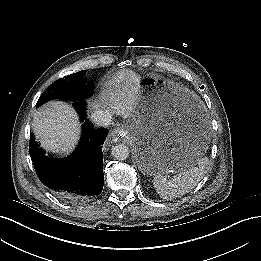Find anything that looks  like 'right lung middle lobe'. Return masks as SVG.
I'll return each instance as SVG.
<instances>
[{"instance_id": "dd1d6c3e", "label": "right lung middle lobe", "mask_w": 261, "mask_h": 261, "mask_svg": "<svg viewBox=\"0 0 261 261\" xmlns=\"http://www.w3.org/2000/svg\"><path fill=\"white\" fill-rule=\"evenodd\" d=\"M86 70L65 76L54 82L48 87V91L44 92L39 98L37 105L51 99H69L71 101H81L91 94L93 91V84L91 81L86 83L83 77Z\"/></svg>"}]
</instances>
